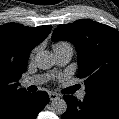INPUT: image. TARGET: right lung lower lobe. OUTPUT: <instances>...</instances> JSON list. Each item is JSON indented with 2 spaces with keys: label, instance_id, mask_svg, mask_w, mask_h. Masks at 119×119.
Wrapping results in <instances>:
<instances>
[{
  "label": "right lung lower lobe",
  "instance_id": "obj_1",
  "mask_svg": "<svg viewBox=\"0 0 119 119\" xmlns=\"http://www.w3.org/2000/svg\"><path fill=\"white\" fill-rule=\"evenodd\" d=\"M48 102L49 96L44 91L28 93L9 110L3 119H36Z\"/></svg>",
  "mask_w": 119,
  "mask_h": 119
}]
</instances>
